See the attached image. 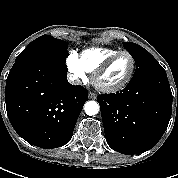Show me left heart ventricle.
I'll list each match as a JSON object with an SVG mask.
<instances>
[{
  "label": "left heart ventricle",
  "instance_id": "obj_1",
  "mask_svg": "<svg viewBox=\"0 0 178 178\" xmlns=\"http://www.w3.org/2000/svg\"><path fill=\"white\" fill-rule=\"evenodd\" d=\"M132 62L129 56L123 55L116 59L100 76L99 83L103 86H113L123 81L131 70Z\"/></svg>",
  "mask_w": 178,
  "mask_h": 178
}]
</instances>
